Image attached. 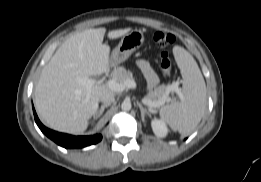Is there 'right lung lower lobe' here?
I'll list each match as a JSON object with an SVG mask.
<instances>
[{
	"instance_id": "1",
	"label": "right lung lower lobe",
	"mask_w": 261,
	"mask_h": 182,
	"mask_svg": "<svg viewBox=\"0 0 261 182\" xmlns=\"http://www.w3.org/2000/svg\"><path fill=\"white\" fill-rule=\"evenodd\" d=\"M35 121L40 128V130L51 140L56 142L58 145L65 148H83L92 144H96L101 141V134H96L93 136H72L68 134L59 133L46 128L38 119V116L33 107Z\"/></svg>"
}]
</instances>
